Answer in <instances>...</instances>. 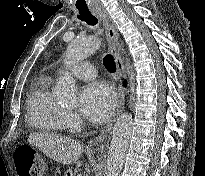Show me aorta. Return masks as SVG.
I'll list each match as a JSON object with an SVG mask.
<instances>
[{"instance_id": "762f6f07", "label": "aorta", "mask_w": 205, "mask_h": 176, "mask_svg": "<svg viewBox=\"0 0 205 176\" xmlns=\"http://www.w3.org/2000/svg\"><path fill=\"white\" fill-rule=\"evenodd\" d=\"M100 41L95 37L75 39L67 47L66 61L72 64L87 58L98 50ZM58 99L74 102L77 98L75 80L70 75L60 77L55 86ZM133 118L130 113L122 114L113 128L112 140L107 158L106 176H118L126 157L128 142L131 136Z\"/></svg>"}]
</instances>
